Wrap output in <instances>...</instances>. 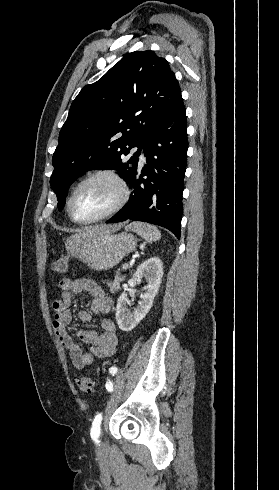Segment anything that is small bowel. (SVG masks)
<instances>
[{"mask_svg":"<svg viewBox=\"0 0 279 490\" xmlns=\"http://www.w3.org/2000/svg\"><path fill=\"white\" fill-rule=\"evenodd\" d=\"M60 297L52 303V330L61 345L67 350L69 357L76 369H82L93 361V356L108 358L112 356L118 345V337L113 321L102 318L100 329H81L77 337L89 344L91 352H84L80 345L73 339L67 330V325L72 318L69 306L73 294L86 293L91 297L90 310H81L78 318L87 323L92 315H105L112 307V300L104 290L93 280L87 278L69 279L59 281Z\"/></svg>","mask_w":279,"mask_h":490,"instance_id":"1","label":"small bowel"}]
</instances>
